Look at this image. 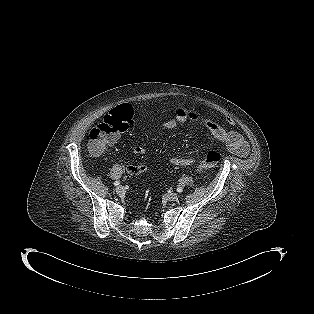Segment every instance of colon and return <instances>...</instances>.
<instances>
[{"mask_svg":"<svg viewBox=\"0 0 314 314\" xmlns=\"http://www.w3.org/2000/svg\"><path fill=\"white\" fill-rule=\"evenodd\" d=\"M132 120L133 110L130 105L122 104L116 107L105 116L100 124L89 131L90 152L94 155H100L120 133L125 132L131 126ZM221 158L220 152L210 150L200 163L198 170L203 172L216 166Z\"/></svg>","mask_w":314,"mask_h":314,"instance_id":"5ec220e1","label":"colon"}]
</instances>
